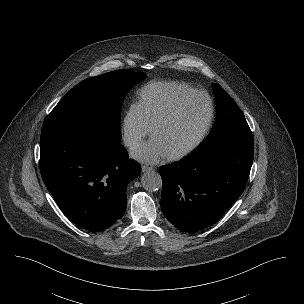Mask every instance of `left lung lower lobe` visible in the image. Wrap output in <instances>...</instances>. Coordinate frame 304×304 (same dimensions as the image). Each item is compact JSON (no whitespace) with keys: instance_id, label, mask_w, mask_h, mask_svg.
<instances>
[{"instance_id":"obj_1","label":"left lung lower lobe","mask_w":304,"mask_h":304,"mask_svg":"<svg viewBox=\"0 0 304 304\" xmlns=\"http://www.w3.org/2000/svg\"><path fill=\"white\" fill-rule=\"evenodd\" d=\"M253 157V140H233L161 166L164 216L183 232L211 226L244 191Z\"/></svg>"}]
</instances>
